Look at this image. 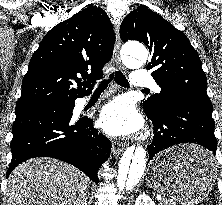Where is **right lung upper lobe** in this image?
Listing matches in <instances>:
<instances>
[{"instance_id":"cb5924a9","label":"right lung upper lobe","mask_w":222,"mask_h":205,"mask_svg":"<svg viewBox=\"0 0 222 205\" xmlns=\"http://www.w3.org/2000/svg\"><path fill=\"white\" fill-rule=\"evenodd\" d=\"M114 43L113 26L100 7L88 6L59 23L33 54L16 105L75 101L102 77Z\"/></svg>"}]
</instances>
